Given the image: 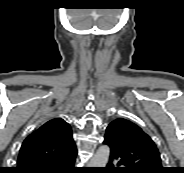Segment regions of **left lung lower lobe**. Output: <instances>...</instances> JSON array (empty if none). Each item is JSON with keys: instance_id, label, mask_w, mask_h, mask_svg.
I'll return each mask as SVG.
<instances>
[{"instance_id": "1", "label": "left lung lower lobe", "mask_w": 184, "mask_h": 173, "mask_svg": "<svg viewBox=\"0 0 184 173\" xmlns=\"http://www.w3.org/2000/svg\"><path fill=\"white\" fill-rule=\"evenodd\" d=\"M116 159H118V157L115 155V154H113L112 152L110 153V162H109V164H108V166L106 167V168H104V169H102V173H130L128 170H126L125 169V167L124 168H121V167H114L113 165H112V161H114V160H116ZM121 164H123L122 163V161L120 160L119 162H118V165H121Z\"/></svg>"}]
</instances>
